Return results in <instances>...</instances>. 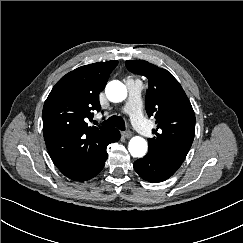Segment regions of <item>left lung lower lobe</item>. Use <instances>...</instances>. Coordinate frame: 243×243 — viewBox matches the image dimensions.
<instances>
[{
    "instance_id": "left-lung-lower-lobe-1",
    "label": "left lung lower lobe",
    "mask_w": 243,
    "mask_h": 243,
    "mask_svg": "<svg viewBox=\"0 0 243 243\" xmlns=\"http://www.w3.org/2000/svg\"><path fill=\"white\" fill-rule=\"evenodd\" d=\"M137 174L149 182H162L171 177L179 168L155 155L147 154L134 162Z\"/></svg>"
}]
</instances>
